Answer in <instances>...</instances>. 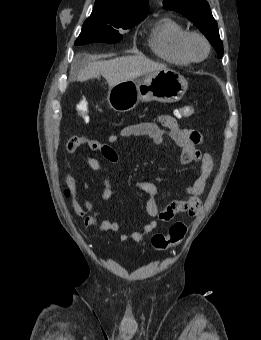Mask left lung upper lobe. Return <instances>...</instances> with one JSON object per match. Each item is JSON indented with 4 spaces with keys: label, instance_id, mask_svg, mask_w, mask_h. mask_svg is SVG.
Listing matches in <instances>:
<instances>
[{
    "label": "left lung upper lobe",
    "instance_id": "1",
    "mask_svg": "<svg viewBox=\"0 0 261 340\" xmlns=\"http://www.w3.org/2000/svg\"><path fill=\"white\" fill-rule=\"evenodd\" d=\"M163 5L190 19L207 37L219 57H222L223 44L219 36L217 22L213 18L206 0H163Z\"/></svg>",
    "mask_w": 261,
    "mask_h": 340
}]
</instances>
